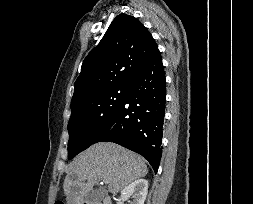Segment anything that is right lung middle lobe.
I'll list each match as a JSON object with an SVG mask.
<instances>
[{"label":"right lung middle lobe","instance_id":"1","mask_svg":"<svg viewBox=\"0 0 253 204\" xmlns=\"http://www.w3.org/2000/svg\"><path fill=\"white\" fill-rule=\"evenodd\" d=\"M126 93L127 86L110 88L71 107L68 159L94 143L123 103Z\"/></svg>","mask_w":253,"mask_h":204}]
</instances>
